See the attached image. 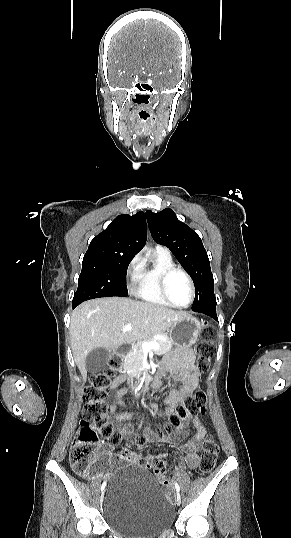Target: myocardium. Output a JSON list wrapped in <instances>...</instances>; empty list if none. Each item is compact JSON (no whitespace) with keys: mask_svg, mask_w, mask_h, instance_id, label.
<instances>
[{"mask_svg":"<svg viewBox=\"0 0 291 538\" xmlns=\"http://www.w3.org/2000/svg\"><path fill=\"white\" fill-rule=\"evenodd\" d=\"M174 273L183 274L184 277L186 278V280L188 281V284H189V287H190V299L184 305H180V304L175 303L170 298V295H169V292H168V281H169L170 277ZM159 285H160L161 294H162L163 298L165 299V301L167 303H169L171 306L175 307V308H180V309L188 308L193 303V301L195 299V285H194L193 279L191 278L190 274L186 270H184V269H182L180 267L174 266V267H171V268H168V269L164 270L162 272L161 276H160Z\"/></svg>","mask_w":291,"mask_h":538,"instance_id":"f54148a6","label":"myocardium"}]
</instances>
